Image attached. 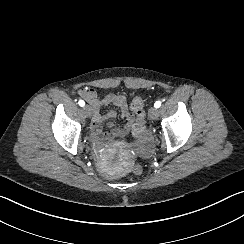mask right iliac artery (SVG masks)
<instances>
[{
    "label": "right iliac artery",
    "instance_id": "obj_1",
    "mask_svg": "<svg viewBox=\"0 0 244 244\" xmlns=\"http://www.w3.org/2000/svg\"><path fill=\"white\" fill-rule=\"evenodd\" d=\"M78 104L83 107L85 105V102L83 100H79Z\"/></svg>",
    "mask_w": 244,
    "mask_h": 244
}]
</instances>
